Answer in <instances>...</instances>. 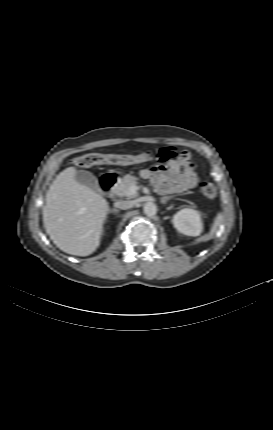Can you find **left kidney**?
<instances>
[{"label": "left kidney", "instance_id": "5707ae66", "mask_svg": "<svg viewBox=\"0 0 273 430\" xmlns=\"http://www.w3.org/2000/svg\"><path fill=\"white\" fill-rule=\"evenodd\" d=\"M173 225L187 236H199L203 230L202 215L192 208H184L173 216Z\"/></svg>", "mask_w": 273, "mask_h": 430}]
</instances>
